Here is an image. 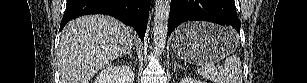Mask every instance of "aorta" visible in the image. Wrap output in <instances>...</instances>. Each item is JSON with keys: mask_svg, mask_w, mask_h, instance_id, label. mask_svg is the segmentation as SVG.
<instances>
[{"mask_svg": "<svg viewBox=\"0 0 307 83\" xmlns=\"http://www.w3.org/2000/svg\"><path fill=\"white\" fill-rule=\"evenodd\" d=\"M170 13V0H156L154 13V49L157 54L164 51L168 34V20Z\"/></svg>", "mask_w": 307, "mask_h": 83, "instance_id": "1", "label": "aorta"}]
</instances>
